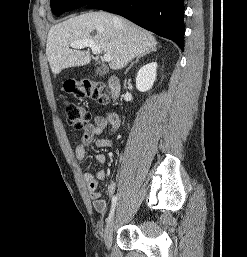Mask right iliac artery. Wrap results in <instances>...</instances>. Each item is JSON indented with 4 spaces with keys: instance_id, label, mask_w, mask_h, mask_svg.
Wrapping results in <instances>:
<instances>
[{
    "instance_id": "82829eb1",
    "label": "right iliac artery",
    "mask_w": 247,
    "mask_h": 257,
    "mask_svg": "<svg viewBox=\"0 0 247 257\" xmlns=\"http://www.w3.org/2000/svg\"><path fill=\"white\" fill-rule=\"evenodd\" d=\"M117 199H118L117 195H114V196L112 197V205H111V210H110L109 216H108V218H107V223L110 222V220H111V218H112V216H113V214H114Z\"/></svg>"
}]
</instances>
